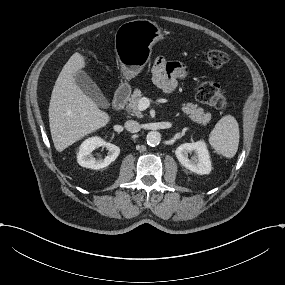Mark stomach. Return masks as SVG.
Masks as SVG:
<instances>
[{"label": "stomach", "instance_id": "1", "mask_svg": "<svg viewBox=\"0 0 285 285\" xmlns=\"http://www.w3.org/2000/svg\"><path fill=\"white\" fill-rule=\"evenodd\" d=\"M163 37L156 22L147 19L128 21L115 33V52L126 79L138 75L150 60L153 45Z\"/></svg>", "mask_w": 285, "mask_h": 285}]
</instances>
